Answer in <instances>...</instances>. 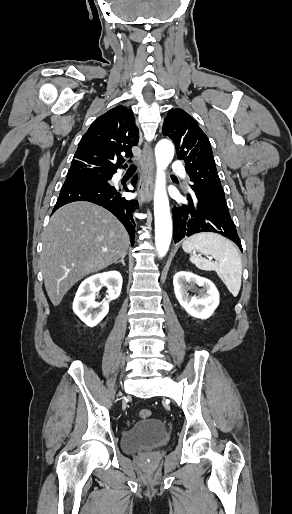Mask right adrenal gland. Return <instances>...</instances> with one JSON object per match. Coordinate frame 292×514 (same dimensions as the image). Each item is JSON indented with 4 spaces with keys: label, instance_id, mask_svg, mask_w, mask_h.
Wrapping results in <instances>:
<instances>
[{
    "label": "right adrenal gland",
    "instance_id": "right-adrenal-gland-1",
    "mask_svg": "<svg viewBox=\"0 0 292 514\" xmlns=\"http://www.w3.org/2000/svg\"><path fill=\"white\" fill-rule=\"evenodd\" d=\"M124 258H125V256H123V258H121V260H119V262H121L122 266H126V264L124 262ZM119 262H115V264H119Z\"/></svg>",
    "mask_w": 292,
    "mask_h": 514
}]
</instances>
